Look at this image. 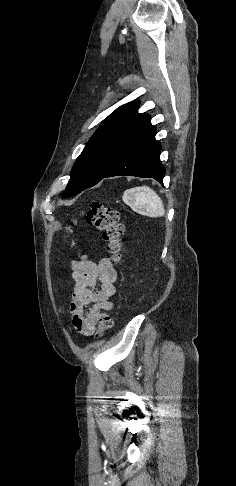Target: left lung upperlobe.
<instances>
[{
    "mask_svg": "<svg viewBox=\"0 0 236 486\" xmlns=\"http://www.w3.org/2000/svg\"><path fill=\"white\" fill-rule=\"evenodd\" d=\"M139 104L138 100L124 104L105 119L75 161L62 198L101 181L132 143L152 126L149 114L137 112Z\"/></svg>",
    "mask_w": 236,
    "mask_h": 486,
    "instance_id": "obj_1",
    "label": "left lung upper lobe"
}]
</instances>
